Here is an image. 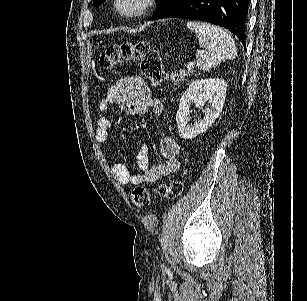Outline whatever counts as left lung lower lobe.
Here are the masks:
<instances>
[{
	"instance_id": "1",
	"label": "left lung lower lobe",
	"mask_w": 307,
	"mask_h": 301,
	"mask_svg": "<svg viewBox=\"0 0 307 301\" xmlns=\"http://www.w3.org/2000/svg\"><path fill=\"white\" fill-rule=\"evenodd\" d=\"M249 0H178L156 19L201 20L229 29L245 46Z\"/></svg>"
}]
</instances>
